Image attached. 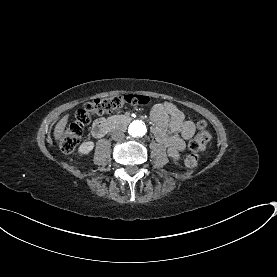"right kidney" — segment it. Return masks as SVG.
Returning <instances> with one entry per match:
<instances>
[{"instance_id": "ca27d5eb", "label": "right kidney", "mask_w": 277, "mask_h": 277, "mask_svg": "<svg viewBox=\"0 0 277 277\" xmlns=\"http://www.w3.org/2000/svg\"><path fill=\"white\" fill-rule=\"evenodd\" d=\"M94 148V143L92 141H88V142H83L79 148H78V152L83 155V154H88L90 153Z\"/></svg>"}]
</instances>
